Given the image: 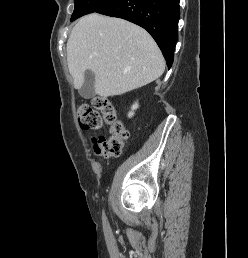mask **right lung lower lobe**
Wrapping results in <instances>:
<instances>
[{"label":"right lung lower lobe","instance_id":"obj_1","mask_svg":"<svg viewBox=\"0 0 248 258\" xmlns=\"http://www.w3.org/2000/svg\"><path fill=\"white\" fill-rule=\"evenodd\" d=\"M97 12L146 29L160 47L168 68L171 67L178 37L179 0H113Z\"/></svg>","mask_w":248,"mask_h":258}]
</instances>
